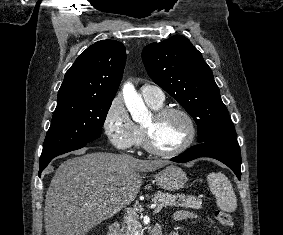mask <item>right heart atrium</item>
Masks as SVG:
<instances>
[{
  "label": "right heart atrium",
  "instance_id": "obj_1",
  "mask_svg": "<svg viewBox=\"0 0 283 235\" xmlns=\"http://www.w3.org/2000/svg\"><path fill=\"white\" fill-rule=\"evenodd\" d=\"M103 128L111 143L118 149L126 150L134 145L137 127L121 97H115L109 104L104 116Z\"/></svg>",
  "mask_w": 283,
  "mask_h": 235
}]
</instances>
